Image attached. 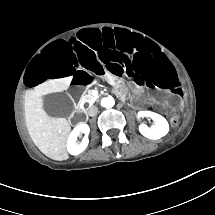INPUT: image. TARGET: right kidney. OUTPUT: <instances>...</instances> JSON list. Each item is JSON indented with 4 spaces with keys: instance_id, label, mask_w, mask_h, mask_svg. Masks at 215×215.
Segmentation results:
<instances>
[{
    "instance_id": "obj_1",
    "label": "right kidney",
    "mask_w": 215,
    "mask_h": 215,
    "mask_svg": "<svg viewBox=\"0 0 215 215\" xmlns=\"http://www.w3.org/2000/svg\"><path fill=\"white\" fill-rule=\"evenodd\" d=\"M76 128H79V131H78L77 135L75 136L74 131ZM75 129L70 134L68 143H67L68 152L72 155H78L83 150H85V148L88 145V136H89V132H90L89 126L86 123H79L75 127ZM80 133H83L84 137L82 138L81 143L78 144L77 138L80 135Z\"/></svg>"
}]
</instances>
